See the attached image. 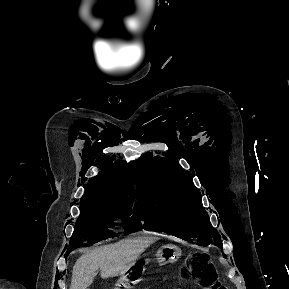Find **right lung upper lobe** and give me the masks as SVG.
Masks as SVG:
<instances>
[{
  "label": "right lung upper lobe",
  "mask_w": 289,
  "mask_h": 289,
  "mask_svg": "<svg viewBox=\"0 0 289 289\" xmlns=\"http://www.w3.org/2000/svg\"><path fill=\"white\" fill-rule=\"evenodd\" d=\"M129 169L130 165L121 162L111 165L108 171H103L101 175L88 182L81 202L126 201L133 203L137 194L128 175Z\"/></svg>",
  "instance_id": "cb5924a9"
}]
</instances>
